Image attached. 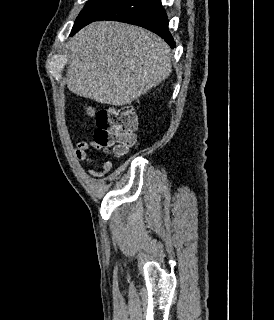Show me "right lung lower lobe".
Listing matches in <instances>:
<instances>
[{"mask_svg": "<svg viewBox=\"0 0 274 320\" xmlns=\"http://www.w3.org/2000/svg\"><path fill=\"white\" fill-rule=\"evenodd\" d=\"M160 1L122 0L94 21L112 20L144 27L161 36L171 48H174L176 45L168 29V18ZM81 28L72 31L71 35Z\"/></svg>", "mask_w": 274, "mask_h": 320, "instance_id": "98d812e1", "label": "right lung lower lobe"}]
</instances>
